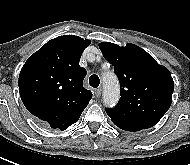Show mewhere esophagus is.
I'll list each match as a JSON object with an SVG mask.
<instances>
[{
  "label": "esophagus",
  "mask_w": 190,
  "mask_h": 165,
  "mask_svg": "<svg viewBox=\"0 0 190 165\" xmlns=\"http://www.w3.org/2000/svg\"><path fill=\"white\" fill-rule=\"evenodd\" d=\"M101 91H102L101 88H97V89L94 90V94H95L96 98H99V97H100Z\"/></svg>",
  "instance_id": "1"
}]
</instances>
